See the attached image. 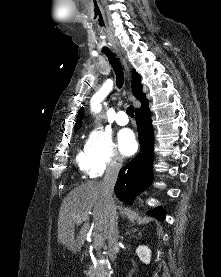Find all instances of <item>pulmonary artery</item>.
<instances>
[{"label":"pulmonary artery","mask_w":221,"mask_h":277,"mask_svg":"<svg viewBox=\"0 0 221 277\" xmlns=\"http://www.w3.org/2000/svg\"><path fill=\"white\" fill-rule=\"evenodd\" d=\"M115 121L118 125L124 126L128 124L129 119L124 111H119L115 115Z\"/></svg>","instance_id":"pulmonary-artery-1"}]
</instances>
